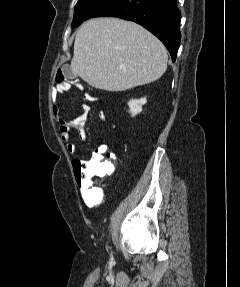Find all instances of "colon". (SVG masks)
I'll use <instances>...</instances> for the list:
<instances>
[{"mask_svg":"<svg viewBox=\"0 0 240 287\" xmlns=\"http://www.w3.org/2000/svg\"><path fill=\"white\" fill-rule=\"evenodd\" d=\"M64 72L59 69L55 76V85L51 91V101L53 108L59 104L61 95L64 93L65 87L69 86ZM73 168L78 179V184L83 194L88 195L93 190V184L99 178L110 173L114 168V157L111 155L107 158L75 161Z\"/></svg>","mask_w":240,"mask_h":287,"instance_id":"1","label":"colon"}]
</instances>
